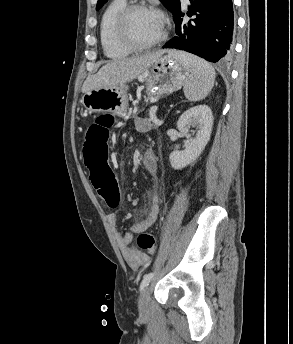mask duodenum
<instances>
[{
	"instance_id": "410a0bca",
	"label": "duodenum",
	"mask_w": 293,
	"mask_h": 344,
	"mask_svg": "<svg viewBox=\"0 0 293 344\" xmlns=\"http://www.w3.org/2000/svg\"><path fill=\"white\" fill-rule=\"evenodd\" d=\"M152 160H153V156H152L150 153H147V152L144 154V156H143V158H142V162H143L145 165H147V166L150 165V163H151Z\"/></svg>"
}]
</instances>
